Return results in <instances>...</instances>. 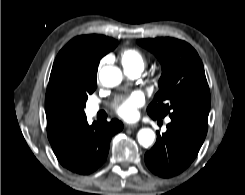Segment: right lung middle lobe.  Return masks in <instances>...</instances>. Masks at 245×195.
<instances>
[{"label":"right lung middle lobe","mask_w":245,"mask_h":195,"mask_svg":"<svg viewBox=\"0 0 245 195\" xmlns=\"http://www.w3.org/2000/svg\"><path fill=\"white\" fill-rule=\"evenodd\" d=\"M96 75L85 74L80 85L79 97L82 104L85 106L89 94H92L96 89Z\"/></svg>","instance_id":"right-lung-middle-lobe-1"}]
</instances>
